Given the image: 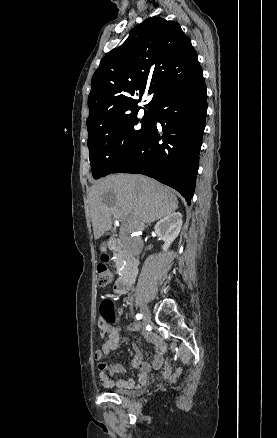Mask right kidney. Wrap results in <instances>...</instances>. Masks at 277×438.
Returning <instances> with one entry per match:
<instances>
[{"label": "right kidney", "mask_w": 277, "mask_h": 438, "mask_svg": "<svg viewBox=\"0 0 277 438\" xmlns=\"http://www.w3.org/2000/svg\"><path fill=\"white\" fill-rule=\"evenodd\" d=\"M182 224V214L180 212H172V214H168L163 220L157 222L155 234L159 236L160 240H163L162 250L164 252L170 248L172 242L179 236Z\"/></svg>", "instance_id": "right-kidney-1"}]
</instances>
